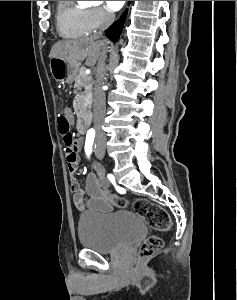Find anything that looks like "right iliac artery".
<instances>
[{
	"label": "right iliac artery",
	"mask_w": 237,
	"mask_h": 300,
	"mask_svg": "<svg viewBox=\"0 0 237 300\" xmlns=\"http://www.w3.org/2000/svg\"><path fill=\"white\" fill-rule=\"evenodd\" d=\"M95 133L92 131H88L86 135V142H85V152L86 155L89 157L92 153V145L94 141Z\"/></svg>",
	"instance_id": "obj_1"
}]
</instances>
